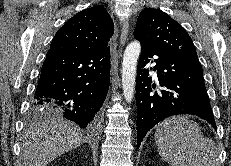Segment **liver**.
I'll use <instances>...</instances> for the list:
<instances>
[{"instance_id": "1", "label": "liver", "mask_w": 231, "mask_h": 166, "mask_svg": "<svg viewBox=\"0 0 231 166\" xmlns=\"http://www.w3.org/2000/svg\"><path fill=\"white\" fill-rule=\"evenodd\" d=\"M87 140L79 127L61 116L30 126L22 138L23 166H46Z\"/></svg>"}]
</instances>
